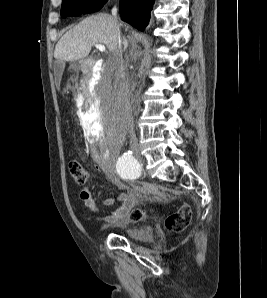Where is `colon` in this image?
<instances>
[{"mask_svg": "<svg viewBox=\"0 0 267 298\" xmlns=\"http://www.w3.org/2000/svg\"><path fill=\"white\" fill-rule=\"evenodd\" d=\"M68 168L72 180L77 185H84L88 179L87 168L78 160L71 159L68 162ZM150 211L136 208L130 213V220L139 222L143 220ZM192 212L188 205H183L177 211L170 214L165 220L167 230L172 232H181L187 228L191 221Z\"/></svg>", "mask_w": 267, "mask_h": 298, "instance_id": "obj_1", "label": "colon"}]
</instances>
